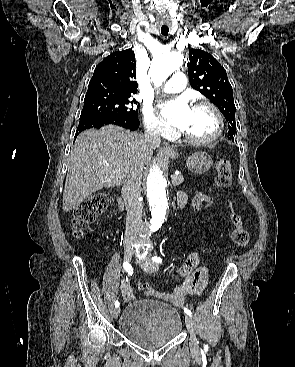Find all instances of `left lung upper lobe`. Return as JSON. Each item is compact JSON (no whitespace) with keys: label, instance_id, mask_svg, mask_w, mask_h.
I'll list each match as a JSON object with an SVG mask.
<instances>
[{"label":"left lung upper lobe","instance_id":"5c2ea615","mask_svg":"<svg viewBox=\"0 0 295 367\" xmlns=\"http://www.w3.org/2000/svg\"><path fill=\"white\" fill-rule=\"evenodd\" d=\"M189 61L188 74L191 86L218 107L228 121V138L234 139L236 108L226 70L211 54L199 49L189 50Z\"/></svg>","mask_w":295,"mask_h":367}]
</instances>
